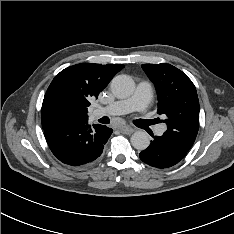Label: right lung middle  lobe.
Listing matches in <instances>:
<instances>
[{
  "label": "right lung middle lobe",
  "instance_id": "obj_1",
  "mask_svg": "<svg viewBox=\"0 0 234 234\" xmlns=\"http://www.w3.org/2000/svg\"><path fill=\"white\" fill-rule=\"evenodd\" d=\"M71 120L70 117L60 109H53L49 111L44 118H42V126L47 127L52 124L62 123Z\"/></svg>",
  "mask_w": 234,
  "mask_h": 234
}]
</instances>
